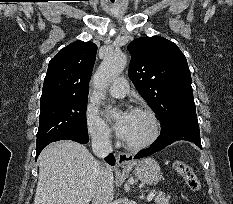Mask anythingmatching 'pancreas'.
<instances>
[{"mask_svg":"<svg viewBox=\"0 0 233 204\" xmlns=\"http://www.w3.org/2000/svg\"><path fill=\"white\" fill-rule=\"evenodd\" d=\"M156 195L155 201L157 204H169L170 198L162 192H153Z\"/></svg>","mask_w":233,"mask_h":204,"instance_id":"pancreas-1","label":"pancreas"}]
</instances>
